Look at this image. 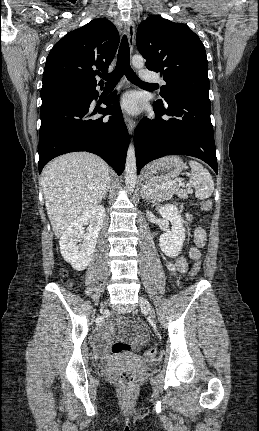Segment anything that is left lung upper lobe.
<instances>
[{"label": "left lung upper lobe", "mask_w": 259, "mask_h": 431, "mask_svg": "<svg viewBox=\"0 0 259 431\" xmlns=\"http://www.w3.org/2000/svg\"><path fill=\"white\" fill-rule=\"evenodd\" d=\"M137 48L146 67L160 72L167 83L161 87L163 98L193 94L209 99L205 47L187 25L150 16L138 27Z\"/></svg>", "instance_id": "1"}]
</instances>
